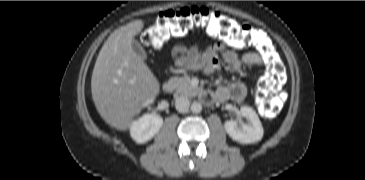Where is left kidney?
Returning a JSON list of instances; mask_svg holds the SVG:
<instances>
[{"label": "left kidney", "instance_id": "1", "mask_svg": "<svg viewBox=\"0 0 365 180\" xmlns=\"http://www.w3.org/2000/svg\"><path fill=\"white\" fill-rule=\"evenodd\" d=\"M240 115L248 120V124L238 125L236 120L224 123L228 135L235 141L243 144L255 143L263 137V127L256 112L248 106L240 108Z\"/></svg>", "mask_w": 365, "mask_h": 180}]
</instances>
